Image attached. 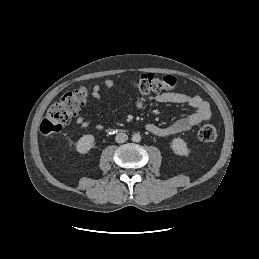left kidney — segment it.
<instances>
[{"label": "left kidney", "instance_id": "obj_1", "mask_svg": "<svg viewBox=\"0 0 259 259\" xmlns=\"http://www.w3.org/2000/svg\"><path fill=\"white\" fill-rule=\"evenodd\" d=\"M171 148L175 154L180 156H188L190 153L187 143L179 137L172 140Z\"/></svg>", "mask_w": 259, "mask_h": 259}]
</instances>
